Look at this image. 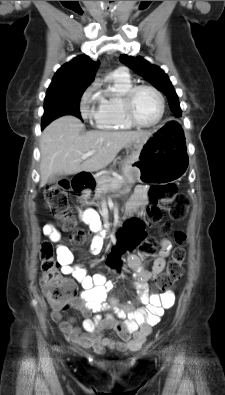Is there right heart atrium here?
<instances>
[{
  "label": "right heart atrium",
  "instance_id": "1",
  "mask_svg": "<svg viewBox=\"0 0 225 395\" xmlns=\"http://www.w3.org/2000/svg\"><path fill=\"white\" fill-rule=\"evenodd\" d=\"M96 101L94 88L90 87L83 95L80 103V112L84 119L95 120L96 111L92 108L91 104Z\"/></svg>",
  "mask_w": 225,
  "mask_h": 395
}]
</instances>
